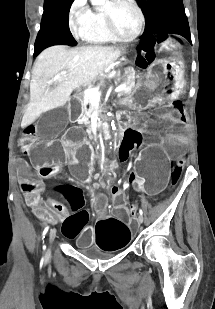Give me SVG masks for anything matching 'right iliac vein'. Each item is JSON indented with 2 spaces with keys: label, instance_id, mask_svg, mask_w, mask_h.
Wrapping results in <instances>:
<instances>
[{
  "label": "right iliac vein",
  "instance_id": "obj_1",
  "mask_svg": "<svg viewBox=\"0 0 215 309\" xmlns=\"http://www.w3.org/2000/svg\"><path fill=\"white\" fill-rule=\"evenodd\" d=\"M55 237H56V229L53 228V229H51V231H50V243H52V242L54 241ZM50 251H51V245H50V247H49V252H50Z\"/></svg>",
  "mask_w": 215,
  "mask_h": 309
}]
</instances>
